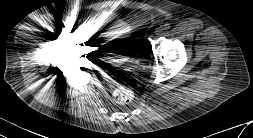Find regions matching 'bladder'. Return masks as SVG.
<instances>
[{
  "label": "bladder",
  "mask_w": 253,
  "mask_h": 138,
  "mask_svg": "<svg viewBox=\"0 0 253 138\" xmlns=\"http://www.w3.org/2000/svg\"><path fill=\"white\" fill-rule=\"evenodd\" d=\"M109 32H110L109 28L105 29L104 34H103L104 37H111ZM111 32L112 33L114 32L113 33L114 36L118 37L115 42L116 44L123 45L127 42L128 38H129V29H128L127 25L124 23L114 24L113 28L111 29ZM105 42H107V41H105ZM106 47L108 49L111 48L112 50L114 48L111 45H107ZM114 50H115V48H114Z\"/></svg>",
  "instance_id": "bladder-1"
}]
</instances>
